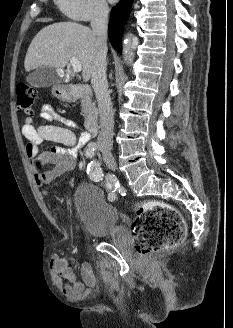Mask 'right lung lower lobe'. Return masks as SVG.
Segmentation results:
<instances>
[{"mask_svg":"<svg viewBox=\"0 0 233 328\" xmlns=\"http://www.w3.org/2000/svg\"><path fill=\"white\" fill-rule=\"evenodd\" d=\"M132 0L122 1L111 11V18L108 28L109 38L112 46L118 51H122L121 37L123 20L128 19L127 13L130 12Z\"/></svg>","mask_w":233,"mask_h":328,"instance_id":"98d812e1","label":"right lung lower lobe"}]
</instances>
